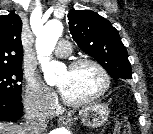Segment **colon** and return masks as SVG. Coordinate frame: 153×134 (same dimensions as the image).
Masks as SVG:
<instances>
[{"label":"colon","instance_id":"5ec220e1","mask_svg":"<svg viewBox=\"0 0 153 134\" xmlns=\"http://www.w3.org/2000/svg\"><path fill=\"white\" fill-rule=\"evenodd\" d=\"M101 134H131L126 117L119 114L115 121L104 127Z\"/></svg>","mask_w":153,"mask_h":134}]
</instances>
